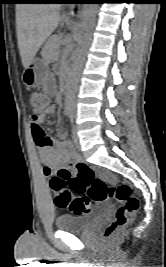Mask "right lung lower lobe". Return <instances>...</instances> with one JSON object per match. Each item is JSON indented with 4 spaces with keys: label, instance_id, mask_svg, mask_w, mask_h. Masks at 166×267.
I'll return each mask as SVG.
<instances>
[{
    "label": "right lung lower lobe",
    "instance_id": "98d812e1",
    "mask_svg": "<svg viewBox=\"0 0 166 267\" xmlns=\"http://www.w3.org/2000/svg\"><path fill=\"white\" fill-rule=\"evenodd\" d=\"M27 3H52L55 0H25Z\"/></svg>",
    "mask_w": 166,
    "mask_h": 267
}]
</instances>
